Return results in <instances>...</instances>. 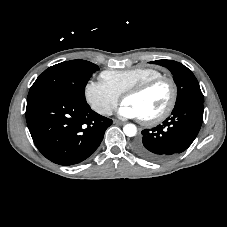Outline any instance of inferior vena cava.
<instances>
[{
	"label": "inferior vena cava",
	"instance_id": "602c4592",
	"mask_svg": "<svg viewBox=\"0 0 227 227\" xmlns=\"http://www.w3.org/2000/svg\"><path fill=\"white\" fill-rule=\"evenodd\" d=\"M101 113L105 115H112V109L109 107L103 108Z\"/></svg>",
	"mask_w": 227,
	"mask_h": 227
}]
</instances>
